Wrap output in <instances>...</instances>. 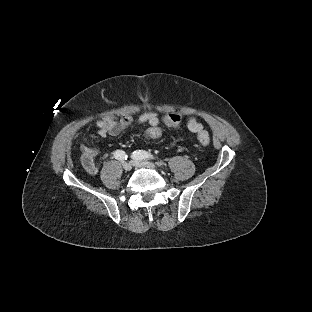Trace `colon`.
<instances>
[{
    "instance_id": "colon-1",
    "label": "colon",
    "mask_w": 312,
    "mask_h": 312,
    "mask_svg": "<svg viewBox=\"0 0 312 312\" xmlns=\"http://www.w3.org/2000/svg\"><path fill=\"white\" fill-rule=\"evenodd\" d=\"M165 121L170 126H177L180 124L181 119L177 115L169 114L166 116ZM150 135L153 139H158L161 136V131L153 126L145 127L140 132L141 141H148ZM198 139L200 144L203 146H208L210 144V137L207 133H200Z\"/></svg>"
}]
</instances>
